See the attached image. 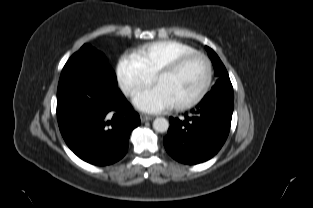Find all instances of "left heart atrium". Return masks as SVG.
<instances>
[{
    "label": "left heart atrium",
    "mask_w": 313,
    "mask_h": 208,
    "mask_svg": "<svg viewBox=\"0 0 313 208\" xmlns=\"http://www.w3.org/2000/svg\"><path fill=\"white\" fill-rule=\"evenodd\" d=\"M134 105L146 113H160L174 106V103L165 90L154 85L138 91L133 98Z\"/></svg>",
    "instance_id": "obj_1"
}]
</instances>
